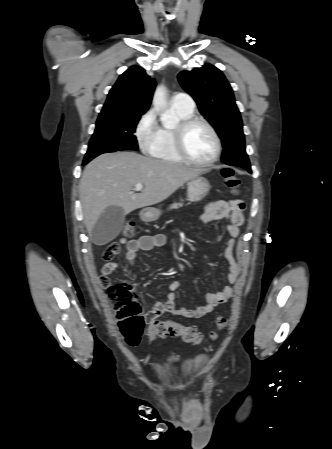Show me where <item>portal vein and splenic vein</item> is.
I'll return each instance as SVG.
<instances>
[{"label":"portal vein and splenic vein","mask_w":332,"mask_h":449,"mask_svg":"<svg viewBox=\"0 0 332 449\" xmlns=\"http://www.w3.org/2000/svg\"><path fill=\"white\" fill-rule=\"evenodd\" d=\"M142 189H143V185L138 183V184H136L134 191H141Z\"/></svg>","instance_id":"18ae733b"}]
</instances>
